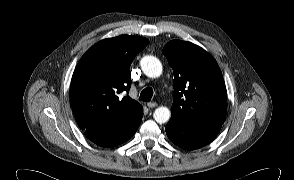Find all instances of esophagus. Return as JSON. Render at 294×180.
Instances as JSON below:
<instances>
[{
  "label": "esophagus",
  "mask_w": 294,
  "mask_h": 180,
  "mask_svg": "<svg viewBox=\"0 0 294 180\" xmlns=\"http://www.w3.org/2000/svg\"><path fill=\"white\" fill-rule=\"evenodd\" d=\"M147 106H148L149 108H154V107L157 106V103H156V102H149V103H147Z\"/></svg>",
  "instance_id": "esophagus-1"
}]
</instances>
